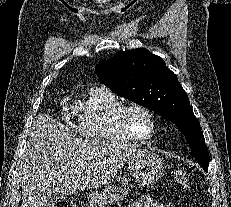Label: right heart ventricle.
Segmentation results:
<instances>
[{
  "label": "right heart ventricle",
  "mask_w": 231,
  "mask_h": 207,
  "mask_svg": "<svg viewBox=\"0 0 231 207\" xmlns=\"http://www.w3.org/2000/svg\"><path fill=\"white\" fill-rule=\"evenodd\" d=\"M121 99L104 86H95L73 109L74 126L84 138L98 142H132L121 129L117 113Z\"/></svg>",
  "instance_id": "1"
}]
</instances>
